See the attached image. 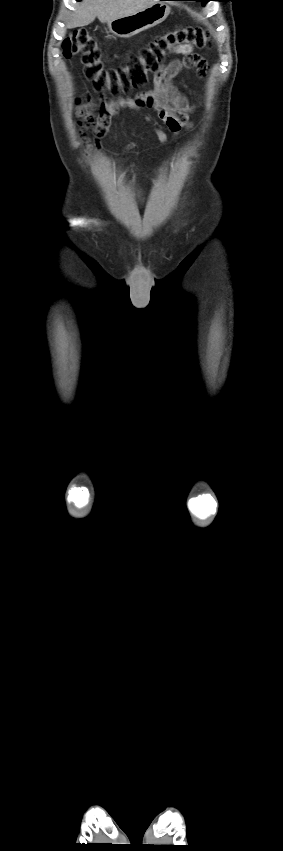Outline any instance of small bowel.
Masks as SVG:
<instances>
[{
    "label": "small bowel",
    "mask_w": 283,
    "mask_h": 851,
    "mask_svg": "<svg viewBox=\"0 0 283 851\" xmlns=\"http://www.w3.org/2000/svg\"><path fill=\"white\" fill-rule=\"evenodd\" d=\"M172 52L186 57L183 60L174 59L168 64L162 65L154 75L153 89L139 94L134 99L105 100L98 115L92 113L95 104L89 95L86 96L84 103H80V99H77L76 114L94 127V137L90 141L92 148L100 149L101 139L107 134L111 119L118 114L120 109L127 108L140 111L145 107L151 108L156 111L158 118L174 135H178L182 130L191 127L189 114L193 113L197 106L191 105L188 99L180 94L173 85V79L180 71L189 67H196L199 74L204 76L208 67L206 62L194 53L192 46L177 47ZM144 118L151 123L150 117L145 116ZM154 131L161 143H167V135L162 129L154 125ZM133 147L132 144L128 149Z\"/></svg>",
    "instance_id": "small-bowel-1"
}]
</instances>
